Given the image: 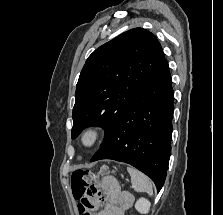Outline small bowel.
Returning <instances> with one entry per match:
<instances>
[{"label": "small bowel", "mask_w": 223, "mask_h": 215, "mask_svg": "<svg viewBox=\"0 0 223 215\" xmlns=\"http://www.w3.org/2000/svg\"><path fill=\"white\" fill-rule=\"evenodd\" d=\"M133 201L132 194L122 191L112 177H105L87 188L81 203L89 206V215H92L91 210L101 206L102 209L95 215H125ZM79 212L81 215H85L82 213L80 205Z\"/></svg>", "instance_id": "c3829d8e"}]
</instances>
